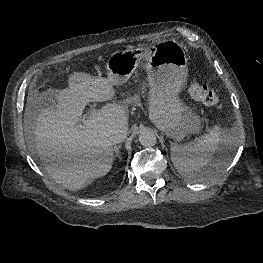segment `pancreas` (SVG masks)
<instances>
[{
  "label": "pancreas",
  "instance_id": "pancreas-1",
  "mask_svg": "<svg viewBox=\"0 0 263 263\" xmlns=\"http://www.w3.org/2000/svg\"><path fill=\"white\" fill-rule=\"evenodd\" d=\"M134 102L135 103H139L140 99H139V96L136 95L134 98H133Z\"/></svg>",
  "mask_w": 263,
  "mask_h": 263
}]
</instances>
